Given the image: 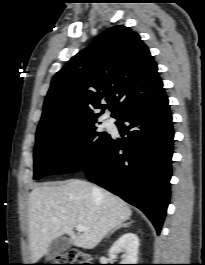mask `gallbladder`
<instances>
[{"label": "gallbladder", "instance_id": "1", "mask_svg": "<svg viewBox=\"0 0 205 265\" xmlns=\"http://www.w3.org/2000/svg\"><path fill=\"white\" fill-rule=\"evenodd\" d=\"M72 245L69 238L61 236L54 239L48 246L45 254L46 260H52L63 252L67 251Z\"/></svg>", "mask_w": 205, "mask_h": 265}]
</instances>
